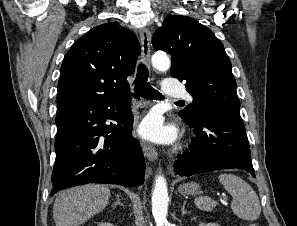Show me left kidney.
Wrapping results in <instances>:
<instances>
[{"label":"left kidney","instance_id":"obj_1","mask_svg":"<svg viewBox=\"0 0 297 226\" xmlns=\"http://www.w3.org/2000/svg\"><path fill=\"white\" fill-rule=\"evenodd\" d=\"M199 226H220L217 223H199Z\"/></svg>","mask_w":297,"mask_h":226}]
</instances>
